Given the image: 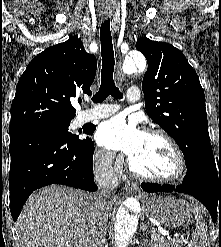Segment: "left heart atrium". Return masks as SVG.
<instances>
[{
    "label": "left heart atrium",
    "instance_id": "39dd6f15",
    "mask_svg": "<svg viewBox=\"0 0 221 247\" xmlns=\"http://www.w3.org/2000/svg\"><path fill=\"white\" fill-rule=\"evenodd\" d=\"M144 134L133 122L117 116L100 124L96 141L110 150L121 151L131 157L138 149Z\"/></svg>",
    "mask_w": 221,
    "mask_h": 247
}]
</instances>
